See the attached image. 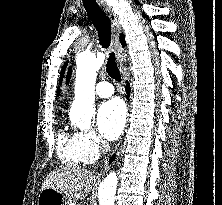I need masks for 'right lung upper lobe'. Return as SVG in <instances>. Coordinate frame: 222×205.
Segmentation results:
<instances>
[{
  "label": "right lung upper lobe",
  "instance_id": "right-lung-upper-lobe-1",
  "mask_svg": "<svg viewBox=\"0 0 222 205\" xmlns=\"http://www.w3.org/2000/svg\"><path fill=\"white\" fill-rule=\"evenodd\" d=\"M120 42H121V44L123 45V46H125V41H124V36H123V34H121V36H120ZM65 67H66V64L63 66V68H62V71H61V79H62V77H63V73H64V70H65ZM61 79H60V81H61ZM58 92H59V88H58Z\"/></svg>",
  "mask_w": 222,
  "mask_h": 205
}]
</instances>
